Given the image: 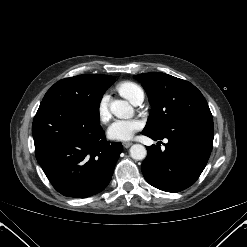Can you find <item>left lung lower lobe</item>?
<instances>
[{"label":"left lung lower lobe","instance_id":"1","mask_svg":"<svg viewBox=\"0 0 247 247\" xmlns=\"http://www.w3.org/2000/svg\"><path fill=\"white\" fill-rule=\"evenodd\" d=\"M143 134L154 140L168 139L164 151L160 144L146 147L142 164L146 181L160 190L179 192L191 186L207 164L213 146V119L212 115L197 116L164 134Z\"/></svg>","mask_w":247,"mask_h":247}]
</instances>
